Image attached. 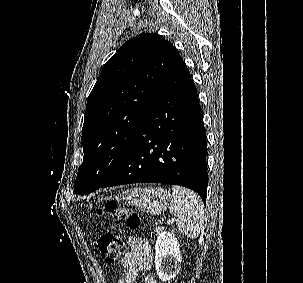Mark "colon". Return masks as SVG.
I'll use <instances>...</instances> for the list:
<instances>
[{"instance_id": "5ec220e1", "label": "colon", "mask_w": 303, "mask_h": 283, "mask_svg": "<svg viewBox=\"0 0 303 283\" xmlns=\"http://www.w3.org/2000/svg\"><path fill=\"white\" fill-rule=\"evenodd\" d=\"M99 216H107L112 222L119 224L125 222L129 228H137L140 223L136 211L121 207L115 201H108L103 207L97 210ZM98 247L104 262L113 264L125 250V241L117 234L104 230L99 233Z\"/></svg>"}]
</instances>
